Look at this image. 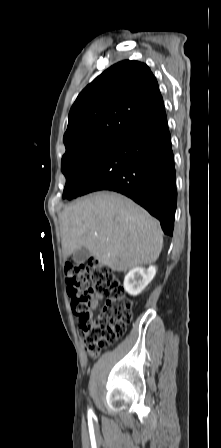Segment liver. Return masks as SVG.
Returning a JSON list of instances; mask_svg holds the SVG:
<instances>
[{
    "instance_id": "obj_1",
    "label": "liver",
    "mask_w": 221,
    "mask_h": 448,
    "mask_svg": "<svg viewBox=\"0 0 221 448\" xmlns=\"http://www.w3.org/2000/svg\"><path fill=\"white\" fill-rule=\"evenodd\" d=\"M61 236L65 257L85 247L113 271L151 264L163 246L156 219L127 197L106 191L65 207Z\"/></svg>"
}]
</instances>
